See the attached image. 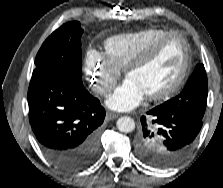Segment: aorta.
<instances>
[{
    "instance_id": "obj_1",
    "label": "aorta",
    "mask_w": 223,
    "mask_h": 188,
    "mask_svg": "<svg viewBox=\"0 0 223 188\" xmlns=\"http://www.w3.org/2000/svg\"><path fill=\"white\" fill-rule=\"evenodd\" d=\"M116 126L119 131L129 133L135 129V122L132 118L124 116L117 120Z\"/></svg>"
}]
</instances>
